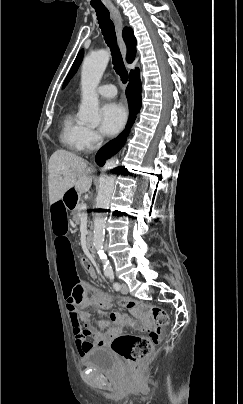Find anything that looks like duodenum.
I'll use <instances>...</instances> for the list:
<instances>
[{
  "mask_svg": "<svg viewBox=\"0 0 243 404\" xmlns=\"http://www.w3.org/2000/svg\"><path fill=\"white\" fill-rule=\"evenodd\" d=\"M63 199L68 209L72 211L77 209L79 204V193L76 188L69 187L65 189V191L63 192ZM87 247L93 255L96 254L92 237H89L87 239Z\"/></svg>",
  "mask_w": 243,
  "mask_h": 404,
  "instance_id": "1",
  "label": "duodenum"
}]
</instances>
